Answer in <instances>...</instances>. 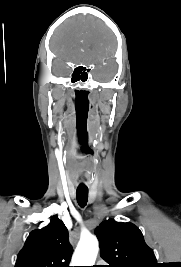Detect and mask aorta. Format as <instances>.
Segmentation results:
<instances>
[{
  "label": "aorta",
  "mask_w": 181,
  "mask_h": 267,
  "mask_svg": "<svg viewBox=\"0 0 181 267\" xmlns=\"http://www.w3.org/2000/svg\"><path fill=\"white\" fill-rule=\"evenodd\" d=\"M99 251V243L94 235L81 237L72 257L73 266H92Z\"/></svg>",
  "instance_id": "1"
}]
</instances>
